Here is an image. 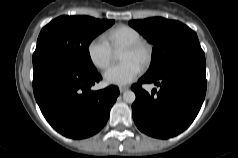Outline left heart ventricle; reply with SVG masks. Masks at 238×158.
<instances>
[{
	"instance_id": "left-heart-ventricle-1",
	"label": "left heart ventricle",
	"mask_w": 238,
	"mask_h": 158,
	"mask_svg": "<svg viewBox=\"0 0 238 158\" xmlns=\"http://www.w3.org/2000/svg\"><path fill=\"white\" fill-rule=\"evenodd\" d=\"M143 53L142 52H132L128 50H123L120 56L122 61L132 60L141 65Z\"/></svg>"
}]
</instances>
